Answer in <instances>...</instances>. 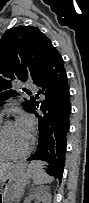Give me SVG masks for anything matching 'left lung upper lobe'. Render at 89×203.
Masks as SVG:
<instances>
[{"label": "left lung upper lobe", "instance_id": "5c2ea615", "mask_svg": "<svg viewBox=\"0 0 89 203\" xmlns=\"http://www.w3.org/2000/svg\"><path fill=\"white\" fill-rule=\"evenodd\" d=\"M49 45L50 40L36 27L18 26L4 33L0 39V101L16 95L11 89L14 82L34 80ZM34 102V97L26 100L24 109L30 112Z\"/></svg>", "mask_w": 89, "mask_h": 203}]
</instances>
